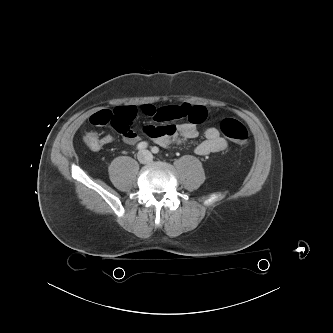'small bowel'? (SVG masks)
Listing matches in <instances>:
<instances>
[{"instance_id": "small-bowel-1", "label": "small bowel", "mask_w": 333, "mask_h": 333, "mask_svg": "<svg viewBox=\"0 0 333 333\" xmlns=\"http://www.w3.org/2000/svg\"><path fill=\"white\" fill-rule=\"evenodd\" d=\"M125 108L117 109L114 113L120 114ZM140 110L142 114L155 122V124L144 126L142 133L162 147L181 144L197 138L199 135L197 125L203 123L208 115L207 109L204 106L188 103L163 108L144 105ZM95 115L96 113L90 117V122L93 125H97ZM178 120H185V122L175 123ZM117 131L121 133L123 140L129 145H134L141 140L140 133L131 126H128L125 131ZM104 139L105 143L112 140L110 136ZM227 147L228 143L220 135L218 129L209 127L204 132L203 140L196 146L195 152L200 156H206L211 153L222 152Z\"/></svg>"}]
</instances>
